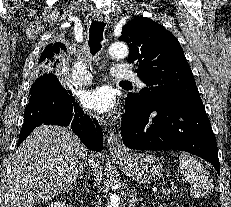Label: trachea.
<instances>
[{
    "instance_id": "3493384b",
    "label": "trachea",
    "mask_w": 231,
    "mask_h": 207,
    "mask_svg": "<svg viewBox=\"0 0 231 207\" xmlns=\"http://www.w3.org/2000/svg\"><path fill=\"white\" fill-rule=\"evenodd\" d=\"M105 26L106 23L98 21H92L90 25L88 45L92 56H95L102 48L101 42ZM121 83L128 84L129 82L123 81Z\"/></svg>"
}]
</instances>
